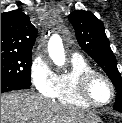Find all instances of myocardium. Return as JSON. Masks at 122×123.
I'll return each instance as SVG.
<instances>
[{"mask_svg":"<svg viewBox=\"0 0 122 123\" xmlns=\"http://www.w3.org/2000/svg\"><path fill=\"white\" fill-rule=\"evenodd\" d=\"M98 78H101L104 81H106L111 90V96L105 102L96 101L91 96V93H90V88L92 83ZM76 93H77V96L88 105L94 106V107H102V106L108 105L114 99L116 91H115V86L113 82L107 75L96 70H91V71L85 72L84 74L80 76L77 83V87H76Z\"/></svg>","mask_w":122,"mask_h":123,"instance_id":"myocardium-1","label":"myocardium"}]
</instances>
